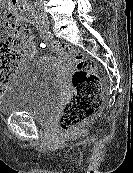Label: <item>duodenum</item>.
Wrapping results in <instances>:
<instances>
[{
  "label": "duodenum",
  "mask_w": 133,
  "mask_h": 173,
  "mask_svg": "<svg viewBox=\"0 0 133 173\" xmlns=\"http://www.w3.org/2000/svg\"><path fill=\"white\" fill-rule=\"evenodd\" d=\"M12 3L19 7L21 10L22 15L31 20L32 18V7L29 3H27L25 0H11Z\"/></svg>",
  "instance_id": "1"
}]
</instances>
